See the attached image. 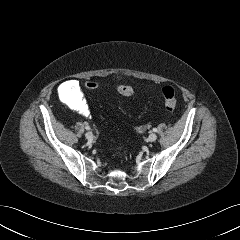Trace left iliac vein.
Returning <instances> with one entry per match:
<instances>
[{"instance_id": "1", "label": "left iliac vein", "mask_w": 240, "mask_h": 240, "mask_svg": "<svg viewBox=\"0 0 240 240\" xmlns=\"http://www.w3.org/2000/svg\"><path fill=\"white\" fill-rule=\"evenodd\" d=\"M157 139V135L155 133H151L149 136H148V141L149 142H154L156 141Z\"/></svg>"}]
</instances>
